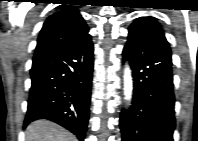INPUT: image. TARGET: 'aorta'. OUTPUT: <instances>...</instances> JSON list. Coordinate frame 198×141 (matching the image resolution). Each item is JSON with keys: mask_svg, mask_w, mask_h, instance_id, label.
<instances>
[{"mask_svg": "<svg viewBox=\"0 0 198 141\" xmlns=\"http://www.w3.org/2000/svg\"><path fill=\"white\" fill-rule=\"evenodd\" d=\"M123 80H124V87H123L124 99L127 101V103H130L132 99L133 81H132L131 69L128 64H126L124 67Z\"/></svg>", "mask_w": 198, "mask_h": 141, "instance_id": "aorta-1", "label": "aorta"}]
</instances>
